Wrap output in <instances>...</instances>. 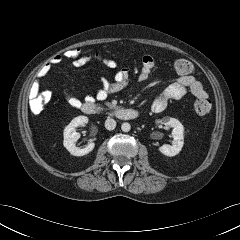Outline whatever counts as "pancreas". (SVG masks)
Here are the masks:
<instances>
[{
    "label": "pancreas",
    "mask_w": 240,
    "mask_h": 240,
    "mask_svg": "<svg viewBox=\"0 0 240 240\" xmlns=\"http://www.w3.org/2000/svg\"><path fill=\"white\" fill-rule=\"evenodd\" d=\"M105 105H106L108 108H110V109H116V108H117L116 105H114V104H112V103H110V102H106Z\"/></svg>",
    "instance_id": "obj_1"
}]
</instances>
